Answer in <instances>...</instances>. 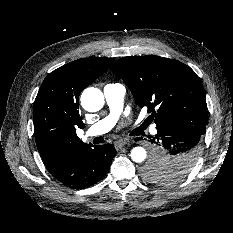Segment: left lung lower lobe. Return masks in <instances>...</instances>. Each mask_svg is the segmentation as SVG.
I'll return each instance as SVG.
<instances>
[{"label": "left lung lower lobe", "mask_w": 233, "mask_h": 233, "mask_svg": "<svg viewBox=\"0 0 233 233\" xmlns=\"http://www.w3.org/2000/svg\"><path fill=\"white\" fill-rule=\"evenodd\" d=\"M205 130V127L187 125L157 129V134L150 137L156 145L151 161L161 162L162 166L170 168L195 165Z\"/></svg>", "instance_id": "0a47b994"}]
</instances>
